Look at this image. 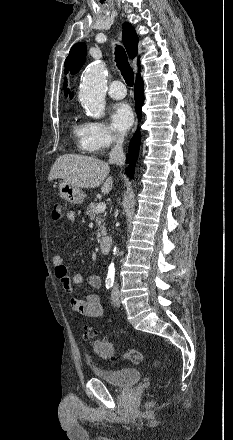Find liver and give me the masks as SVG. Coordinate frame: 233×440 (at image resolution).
I'll return each instance as SVG.
<instances>
[{
  "mask_svg": "<svg viewBox=\"0 0 233 440\" xmlns=\"http://www.w3.org/2000/svg\"><path fill=\"white\" fill-rule=\"evenodd\" d=\"M109 170V164L97 158L65 154L55 161L48 180L61 178L78 188H96L103 184L101 192L106 194L113 186L112 177L107 178Z\"/></svg>",
  "mask_w": 233,
  "mask_h": 440,
  "instance_id": "6515ba94",
  "label": "liver"
}]
</instances>
